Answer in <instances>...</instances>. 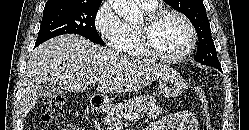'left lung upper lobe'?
<instances>
[{
	"label": "left lung upper lobe",
	"mask_w": 249,
	"mask_h": 130,
	"mask_svg": "<svg viewBox=\"0 0 249 130\" xmlns=\"http://www.w3.org/2000/svg\"><path fill=\"white\" fill-rule=\"evenodd\" d=\"M175 10L182 12L191 21L197 32L199 46L194 60L203 65L219 68L216 48L202 0H165Z\"/></svg>",
	"instance_id": "1"
}]
</instances>
